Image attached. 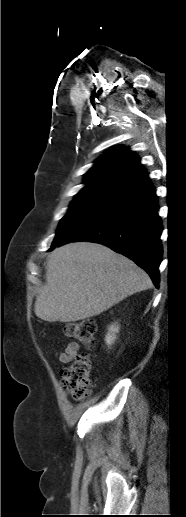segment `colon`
I'll use <instances>...</instances> for the list:
<instances>
[{
  "label": "colon",
  "instance_id": "5ec220e1",
  "mask_svg": "<svg viewBox=\"0 0 186 517\" xmlns=\"http://www.w3.org/2000/svg\"><path fill=\"white\" fill-rule=\"evenodd\" d=\"M97 324L86 319L68 322L64 327L65 335L78 340L85 346L95 342ZM91 359L87 354H77L60 372V381L65 391L75 400L87 398L91 391Z\"/></svg>",
  "mask_w": 186,
  "mask_h": 517
}]
</instances>
